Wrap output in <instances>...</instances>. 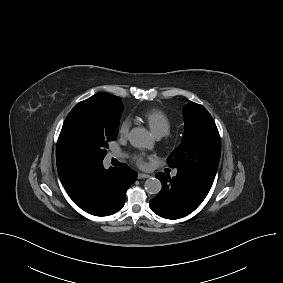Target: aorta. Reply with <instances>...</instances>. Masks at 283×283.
I'll list each match as a JSON object with an SVG mask.
<instances>
[{
  "label": "aorta",
  "instance_id": "obj_1",
  "mask_svg": "<svg viewBox=\"0 0 283 283\" xmlns=\"http://www.w3.org/2000/svg\"><path fill=\"white\" fill-rule=\"evenodd\" d=\"M129 142L136 148H150L153 145L151 134L141 127H135L130 131ZM145 190L149 194H158L162 188V184L157 178H148L145 181Z\"/></svg>",
  "mask_w": 283,
  "mask_h": 283
}]
</instances>
